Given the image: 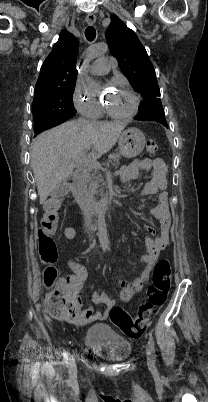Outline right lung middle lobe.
Instances as JSON below:
<instances>
[{
	"mask_svg": "<svg viewBox=\"0 0 208 402\" xmlns=\"http://www.w3.org/2000/svg\"><path fill=\"white\" fill-rule=\"evenodd\" d=\"M74 89L75 82L65 83L35 93L32 103L34 120L48 117L68 120L74 117L77 113L73 106Z\"/></svg>",
	"mask_w": 208,
	"mask_h": 402,
	"instance_id": "dd1d6c3e",
	"label": "right lung middle lobe"
}]
</instances>
